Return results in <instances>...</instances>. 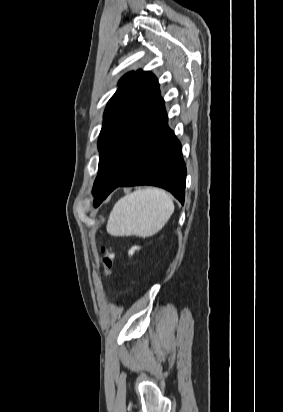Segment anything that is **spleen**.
Instances as JSON below:
<instances>
[{
    "label": "spleen",
    "instance_id": "3e777b00",
    "mask_svg": "<svg viewBox=\"0 0 283 412\" xmlns=\"http://www.w3.org/2000/svg\"><path fill=\"white\" fill-rule=\"evenodd\" d=\"M173 211V201L165 191L137 190L117 201L106 229L112 236L150 237L164 227Z\"/></svg>",
    "mask_w": 283,
    "mask_h": 412
}]
</instances>
